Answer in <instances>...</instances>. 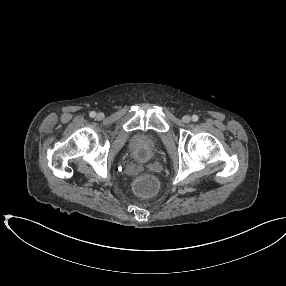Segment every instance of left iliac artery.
Segmentation results:
<instances>
[{
  "label": "left iliac artery",
  "instance_id": "44dca946",
  "mask_svg": "<svg viewBox=\"0 0 286 286\" xmlns=\"http://www.w3.org/2000/svg\"><path fill=\"white\" fill-rule=\"evenodd\" d=\"M192 120H193L194 122L198 121V116H197V115H193V116H192Z\"/></svg>",
  "mask_w": 286,
  "mask_h": 286
}]
</instances>
